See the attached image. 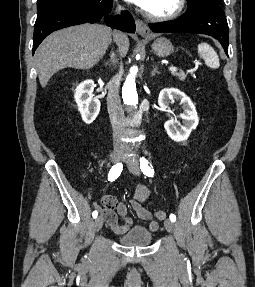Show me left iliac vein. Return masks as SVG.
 <instances>
[{"label": "left iliac vein", "instance_id": "left-iliac-vein-1", "mask_svg": "<svg viewBox=\"0 0 255 287\" xmlns=\"http://www.w3.org/2000/svg\"><path fill=\"white\" fill-rule=\"evenodd\" d=\"M128 168L130 172H132L135 175L140 174V166L139 163L134 159H128L127 161ZM165 228L168 232L172 233L174 230V223L170 219H166L164 222Z\"/></svg>", "mask_w": 255, "mask_h": 287}]
</instances>
